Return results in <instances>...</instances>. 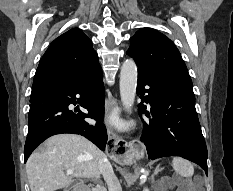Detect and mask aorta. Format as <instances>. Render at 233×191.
Masks as SVG:
<instances>
[{
    "mask_svg": "<svg viewBox=\"0 0 233 191\" xmlns=\"http://www.w3.org/2000/svg\"><path fill=\"white\" fill-rule=\"evenodd\" d=\"M137 86V66L132 59H126L120 72V96L125 109L130 112L134 104ZM143 191H149L144 188Z\"/></svg>",
    "mask_w": 233,
    "mask_h": 191,
    "instance_id": "762f6f07",
    "label": "aorta"
}]
</instances>
